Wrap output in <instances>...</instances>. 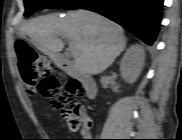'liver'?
<instances>
[{"mask_svg": "<svg viewBox=\"0 0 182 140\" xmlns=\"http://www.w3.org/2000/svg\"><path fill=\"white\" fill-rule=\"evenodd\" d=\"M20 31L50 56H55L64 47L58 36L66 37L79 52L74 61L75 68L89 75L106 70L126 46L120 25L83 9L70 11L64 18L57 14L33 18L24 23Z\"/></svg>", "mask_w": 182, "mask_h": 140, "instance_id": "liver-1", "label": "liver"}]
</instances>
